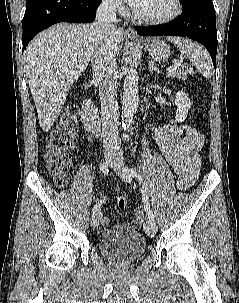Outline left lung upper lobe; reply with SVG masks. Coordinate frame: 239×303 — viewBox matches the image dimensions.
<instances>
[{"instance_id": "5c2ea615", "label": "left lung upper lobe", "mask_w": 239, "mask_h": 303, "mask_svg": "<svg viewBox=\"0 0 239 303\" xmlns=\"http://www.w3.org/2000/svg\"><path fill=\"white\" fill-rule=\"evenodd\" d=\"M194 1H196V0H182V5L184 7V6H187L191 3H193Z\"/></svg>"}]
</instances>
